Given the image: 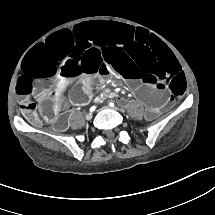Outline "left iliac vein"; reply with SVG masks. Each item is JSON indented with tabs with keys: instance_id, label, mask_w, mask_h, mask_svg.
Wrapping results in <instances>:
<instances>
[{
	"instance_id": "4c4485c4",
	"label": "left iliac vein",
	"mask_w": 215,
	"mask_h": 215,
	"mask_svg": "<svg viewBox=\"0 0 215 215\" xmlns=\"http://www.w3.org/2000/svg\"><path fill=\"white\" fill-rule=\"evenodd\" d=\"M104 109H107L108 107H103Z\"/></svg>"
}]
</instances>
